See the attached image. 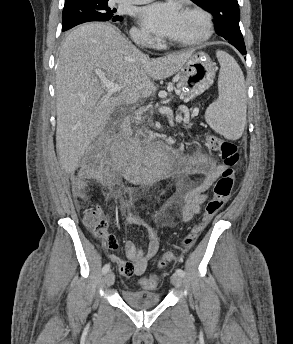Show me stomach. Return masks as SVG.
<instances>
[{
  "mask_svg": "<svg viewBox=\"0 0 293 344\" xmlns=\"http://www.w3.org/2000/svg\"><path fill=\"white\" fill-rule=\"evenodd\" d=\"M215 71L207 54L194 53L176 72L177 86L188 97L198 96L213 84Z\"/></svg>",
  "mask_w": 293,
  "mask_h": 344,
  "instance_id": "stomach-1",
  "label": "stomach"
}]
</instances>
